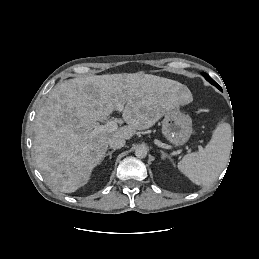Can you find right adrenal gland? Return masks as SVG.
<instances>
[{"instance_id": "1", "label": "right adrenal gland", "mask_w": 259, "mask_h": 259, "mask_svg": "<svg viewBox=\"0 0 259 259\" xmlns=\"http://www.w3.org/2000/svg\"><path fill=\"white\" fill-rule=\"evenodd\" d=\"M115 152V149H113L112 151H109V152H107L106 154H105V156H104V158L106 157V156H109V160L112 158V154Z\"/></svg>"}]
</instances>
